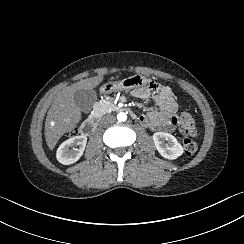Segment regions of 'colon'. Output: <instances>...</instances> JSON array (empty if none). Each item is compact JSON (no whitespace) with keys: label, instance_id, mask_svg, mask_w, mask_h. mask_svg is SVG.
I'll use <instances>...</instances> for the list:
<instances>
[{"label":"colon","instance_id":"obj_1","mask_svg":"<svg viewBox=\"0 0 244 244\" xmlns=\"http://www.w3.org/2000/svg\"><path fill=\"white\" fill-rule=\"evenodd\" d=\"M175 122L178 124V130L183 135V147L187 155L195 154L199 145L195 140L198 134V128L195 119L190 113H181L174 117Z\"/></svg>","mask_w":244,"mask_h":244}]
</instances>
